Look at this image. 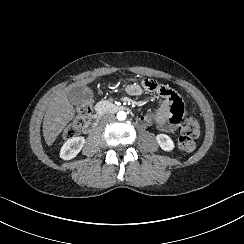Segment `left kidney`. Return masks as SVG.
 I'll list each match as a JSON object with an SVG mask.
<instances>
[{
	"mask_svg": "<svg viewBox=\"0 0 244 244\" xmlns=\"http://www.w3.org/2000/svg\"><path fill=\"white\" fill-rule=\"evenodd\" d=\"M157 142L164 151H171L174 149L172 139L166 134H158L156 136Z\"/></svg>",
	"mask_w": 244,
	"mask_h": 244,
	"instance_id": "5707ae66",
	"label": "left kidney"
}]
</instances>
